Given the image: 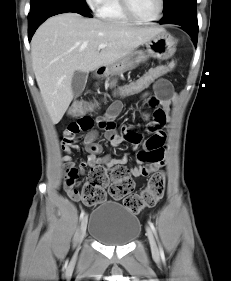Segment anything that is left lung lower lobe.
<instances>
[{"label":"left lung lower lobe","mask_w":231,"mask_h":281,"mask_svg":"<svg viewBox=\"0 0 231 281\" xmlns=\"http://www.w3.org/2000/svg\"><path fill=\"white\" fill-rule=\"evenodd\" d=\"M160 24H177L184 27V30L192 37L194 45L197 46L198 22L196 2L179 4L167 13Z\"/></svg>","instance_id":"left-lung-lower-lobe-1"}]
</instances>
